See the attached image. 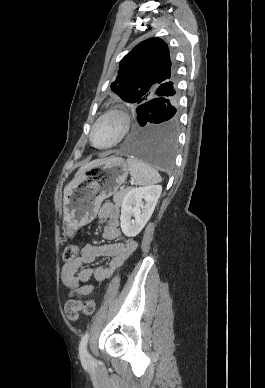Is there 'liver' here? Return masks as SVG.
<instances>
[{"label":"liver","mask_w":265,"mask_h":388,"mask_svg":"<svg viewBox=\"0 0 265 388\" xmlns=\"http://www.w3.org/2000/svg\"><path fill=\"white\" fill-rule=\"evenodd\" d=\"M105 156H108V154H105ZM101 160H93V162H89V164H85V166H82V168H80L78 174H80V172H84V170H88V168H94V166H97V164H100Z\"/></svg>","instance_id":"6515ba94"}]
</instances>
